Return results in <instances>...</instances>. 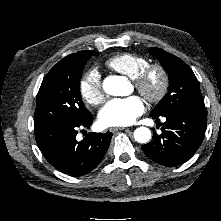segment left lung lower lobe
Here are the masks:
<instances>
[{
    "instance_id": "left-lung-lower-lobe-1",
    "label": "left lung lower lobe",
    "mask_w": 221,
    "mask_h": 221,
    "mask_svg": "<svg viewBox=\"0 0 221 221\" xmlns=\"http://www.w3.org/2000/svg\"><path fill=\"white\" fill-rule=\"evenodd\" d=\"M163 116L166 122L161 128L162 133L158 135L154 130L152 140L143 145L142 150L150 159L161 165H180L195 154L203 141L207 126L206 111L184 109Z\"/></svg>"
}]
</instances>
